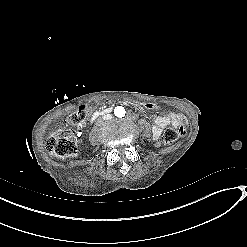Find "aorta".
Masks as SVG:
<instances>
[{
  "label": "aorta",
  "instance_id": "obj_1",
  "mask_svg": "<svg viewBox=\"0 0 247 247\" xmlns=\"http://www.w3.org/2000/svg\"><path fill=\"white\" fill-rule=\"evenodd\" d=\"M125 113H126L125 109L122 106H117L114 109V114L116 117H119V118L124 117Z\"/></svg>",
  "mask_w": 247,
  "mask_h": 247
}]
</instances>
